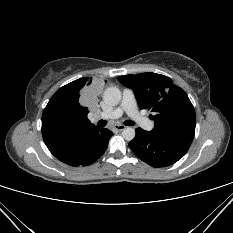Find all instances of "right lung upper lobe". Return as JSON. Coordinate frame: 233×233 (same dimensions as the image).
<instances>
[{
  "label": "right lung upper lobe",
  "mask_w": 233,
  "mask_h": 233,
  "mask_svg": "<svg viewBox=\"0 0 233 233\" xmlns=\"http://www.w3.org/2000/svg\"><path fill=\"white\" fill-rule=\"evenodd\" d=\"M83 88L86 93L94 90L90 78L83 77L61 87L46 106V108L52 104L61 106L60 118L50 119L42 115L44 142L54 145L59 151L77 149L91 136L103 130L90 124L87 118L88 108L83 106L80 100Z\"/></svg>",
  "instance_id": "cb5924a9"
}]
</instances>
